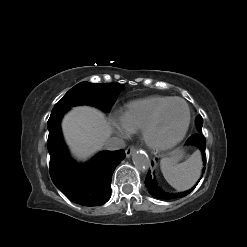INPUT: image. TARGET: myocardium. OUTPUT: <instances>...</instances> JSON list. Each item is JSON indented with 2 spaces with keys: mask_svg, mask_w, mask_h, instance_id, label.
<instances>
[{
  "mask_svg": "<svg viewBox=\"0 0 247 247\" xmlns=\"http://www.w3.org/2000/svg\"><path fill=\"white\" fill-rule=\"evenodd\" d=\"M173 102H182L187 110V119L185 122V125L182 129V131L174 138L169 139V140H156L153 135L152 132L156 126V124L158 123V120L161 116V114L163 113V111ZM191 123V110L190 107L188 105V103L179 97H173L171 99H169L168 101H166L165 103H163L153 114V116L151 117V119L148 121V123L146 124V126L143 128L142 130V137L144 142L146 143V145L148 147H150L153 150L156 151H163V150H167L170 149L172 147H174L175 145H177L187 134L189 126Z\"/></svg>",
  "mask_w": 247,
  "mask_h": 247,
  "instance_id": "1",
  "label": "myocardium"
}]
</instances>
